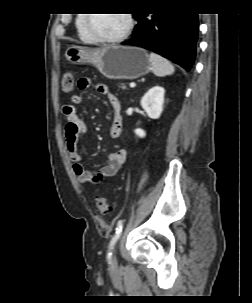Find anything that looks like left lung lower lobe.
Wrapping results in <instances>:
<instances>
[{"label":"left lung lower lobe","mask_w":252,"mask_h":303,"mask_svg":"<svg viewBox=\"0 0 252 303\" xmlns=\"http://www.w3.org/2000/svg\"><path fill=\"white\" fill-rule=\"evenodd\" d=\"M133 37L124 45L154 51L189 71L194 63L199 31L196 13L139 14Z\"/></svg>","instance_id":"0a47b994"}]
</instances>
